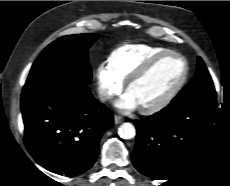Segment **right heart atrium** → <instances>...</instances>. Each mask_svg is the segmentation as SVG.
<instances>
[{"mask_svg":"<svg viewBox=\"0 0 230 186\" xmlns=\"http://www.w3.org/2000/svg\"><path fill=\"white\" fill-rule=\"evenodd\" d=\"M97 89L103 101L112 99L121 93L124 83L113 73L109 65L100 63L96 68Z\"/></svg>","mask_w":230,"mask_h":186,"instance_id":"right-heart-atrium-1","label":"right heart atrium"}]
</instances>
